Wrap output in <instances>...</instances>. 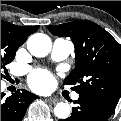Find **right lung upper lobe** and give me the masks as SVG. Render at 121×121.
<instances>
[{
	"label": "right lung upper lobe",
	"mask_w": 121,
	"mask_h": 121,
	"mask_svg": "<svg viewBox=\"0 0 121 121\" xmlns=\"http://www.w3.org/2000/svg\"><path fill=\"white\" fill-rule=\"evenodd\" d=\"M1 28L7 29L9 32L14 34L17 38L25 42L27 37L38 29V26L21 27L1 20Z\"/></svg>",
	"instance_id": "cb5924a9"
}]
</instances>
